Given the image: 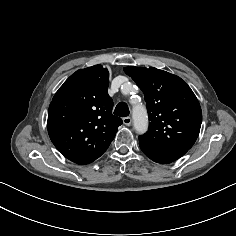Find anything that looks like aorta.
Segmentation results:
<instances>
[{"instance_id":"1","label":"aorta","mask_w":236,"mask_h":236,"mask_svg":"<svg viewBox=\"0 0 236 236\" xmlns=\"http://www.w3.org/2000/svg\"><path fill=\"white\" fill-rule=\"evenodd\" d=\"M132 117L134 120L135 130L140 134L146 132L148 127V121L145 107L144 106L134 107Z\"/></svg>"}]
</instances>
